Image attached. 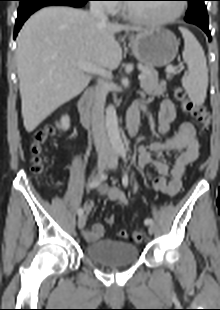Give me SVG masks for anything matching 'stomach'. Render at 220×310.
<instances>
[{
  "label": "stomach",
  "mask_w": 220,
  "mask_h": 310,
  "mask_svg": "<svg viewBox=\"0 0 220 310\" xmlns=\"http://www.w3.org/2000/svg\"><path fill=\"white\" fill-rule=\"evenodd\" d=\"M132 53L147 67H163L170 64L178 53L179 42L169 30L156 27L129 38Z\"/></svg>",
  "instance_id": "obj_1"
}]
</instances>
